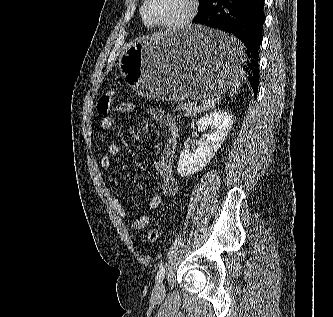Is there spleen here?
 Wrapping results in <instances>:
<instances>
[{
  "instance_id": "3e777b00",
  "label": "spleen",
  "mask_w": 333,
  "mask_h": 317,
  "mask_svg": "<svg viewBox=\"0 0 333 317\" xmlns=\"http://www.w3.org/2000/svg\"><path fill=\"white\" fill-rule=\"evenodd\" d=\"M227 44H230L234 48L237 55L241 54V45L236 38L231 37V40ZM245 76H246V73L240 67L237 66L235 80H234V83L232 85V89L230 92L231 96L234 93H237V91L239 90V87L241 85L240 81L245 79Z\"/></svg>"
}]
</instances>
